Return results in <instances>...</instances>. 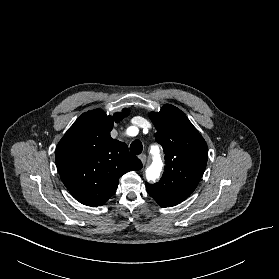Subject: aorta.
<instances>
[{
	"instance_id": "aorta-1",
	"label": "aorta",
	"mask_w": 279,
	"mask_h": 279,
	"mask_svg": "<svg viewBox=\"0 0 279 279\" xmlns=\"http://www.w3.org/2000/svg\"><path fill=\"white\" fill-rule=\"evenodd\" d=\"M161 169H162L161 160L158 157L154 158L153 164L149 167L147 171V179L148 180L157 179L160 175Z\"/></svg>"
}]
</instances>
